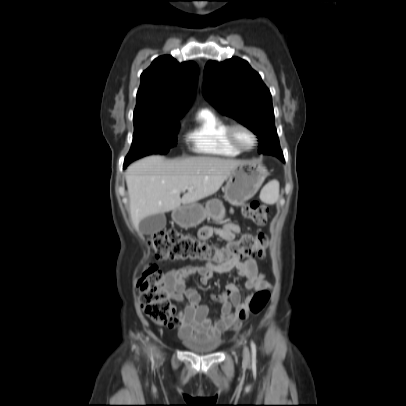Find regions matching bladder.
I'll return each mask as SVG.
<instances>
[{
    "mask_svg": "<svg viewBox=\"0 0 406 406\" xmlns=\"http://www.w3.org/2000/svg\"><path fill=\"white\" fill-rule=\"evenodd\" d=\"M186 349L196 354H209L214 352L220 345L217 341L210 339H199L195 337L182 338Z\"/></svg>",
    "mask_w": 406,
    "mask_h": 406,
    "instance_id": "obj_1",
    "label": "bladder"
}]
</instances>
